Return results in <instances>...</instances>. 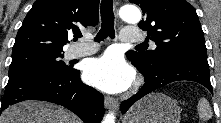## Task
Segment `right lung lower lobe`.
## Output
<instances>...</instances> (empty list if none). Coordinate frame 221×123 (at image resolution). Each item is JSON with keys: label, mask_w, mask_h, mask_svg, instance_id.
<instances>
[{"label": "right lung lower lobe", "mask_w": 221, "mask_h": 123, "mask_svg": "<svg viewBox=\"0 0 221 123\" xmlns=\"http://www.w3.org/2000/svg\"><path fill=\"white\" fill-rule=\"evenodd\" d=\"M24 100H42L64 106L85 123H100L104 97L80 79V71L29 69L9 74L1 110ZM1 113V111H0Z\"/></svg>", "instance_id": "obj_1"}]
</instances>
